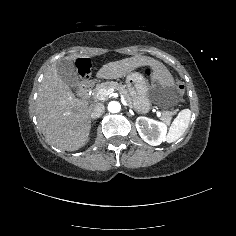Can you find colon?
Masks as SVG:
<instances>
[{
    "instance_id": "1",
    "label": "colon",
    "mask_w": 236,
    "mask_h": 236,
    "mask_svg": "<svg viewBox=\"0 0 236 236\" xmlns=\"http://www.w3.org/2000/svg\"><path fill=\"white\" fill-rule=\"evenodd\" d=\"M145 72H146V74L149 75L151 73V70L149 68H147V69H145ZM176 88H177L179 97L182 98L184 95L185 86L181 82H177Z\"/></svg>"
}]
</instances>
